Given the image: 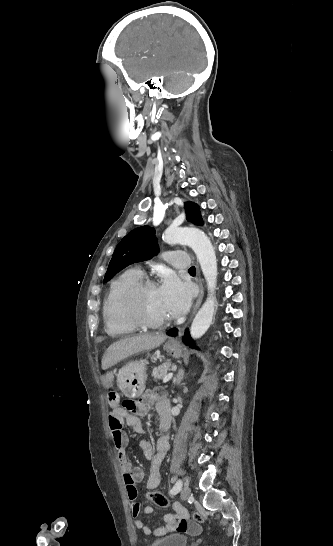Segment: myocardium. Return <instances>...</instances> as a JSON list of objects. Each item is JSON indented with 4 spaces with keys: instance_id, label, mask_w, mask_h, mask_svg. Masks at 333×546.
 <instances>
[{
    "instance_id": "1",
    "label": "myocardium",
    "mask_w": 333,
    "mask_h": 546,
    "mask_svg": "<svg viewBox=\"0 0 333 546\" xmlns=\"http://www.w3.org/2000/svg\"><path fill=\"white\" fill-rule=\"evenodd\" d=\"M156 287V283L150 279H141L132 284L124 293L122 298L123 309L128 318L141 328L159 329L167 326L169 319L155 321L147 318L141 307V299L144 292L149 288Z\"/></svg>"
}]
</instances>
